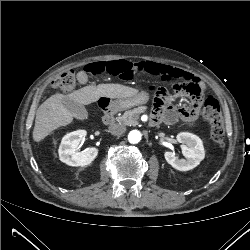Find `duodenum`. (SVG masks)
Segmentation results:
<instances>
[{
    "mask_svg": "<svg viewBox=\"0 0 250 250\" xmlns=\"http://www.w3.org/2000/svg\"><path fill=\"white\" fill-rule=\"evenodd\" d=\"M100 106H101V110H102L103 122L106 123V124L113 123L114 106L112 104H110L109 102H107V101L101 102ZM158 122L159 121L157 119H155V118H152L151 121H150V123L152 125H156V124H158Z\"/></svg>",
    "mask_w": 250,
    "mask_h": 250,
    "instance_id": "410a0bca",
    "label": "duodenum"
}]
</instances>
